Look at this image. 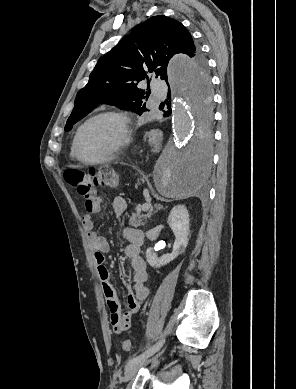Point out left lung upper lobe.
I'll return each instance as SVG.
<instances>
[{
	"label": "left lung upper lobe",
	"mask_w": 296,
	"mask_h": 389,
	"mask_svg": "<svg viewBox=\"0 0 296 389\" xmlns=\"http://www.w3.org/2000/svg\"><path fill=\"white\" fill-rule=\"evenodd\" d=\"M177 53L190 57V80L208 90L210 80L206 60L184 25L164 15L154 16L136 25L131 33L102 56L75 99V106L67 120L65 131L92 111L99 103H107L141 115L148 111L144 100L148 93L137 88V83L154 73L168 83L167 65ZM201 99L209 104L210 98ZM206 119L210 114L204 111Z\"/></svg>",
	"instance_id": "1"
}]
</instances>
